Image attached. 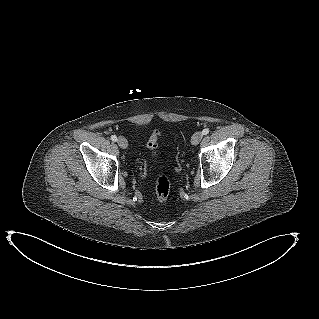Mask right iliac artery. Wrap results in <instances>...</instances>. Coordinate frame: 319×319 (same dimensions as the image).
Returning <instances> with one entry per match:
<instances>
[{
    "instance_id": "1",
    "label": "right iliac artery",
    "mask_w": 319,
    "mask_h": 319,
    "mask_svg": "<svg viewBox=\"0 0 319 319\" xmlns=\"http://www.w3.org/2000/svg\"><path fill=\"white\" fill-rule=\"evenodd\" d=\"M111 140L115 142V141H117V137L115 135H112Z\"/></svg>"
}]
</instances>
